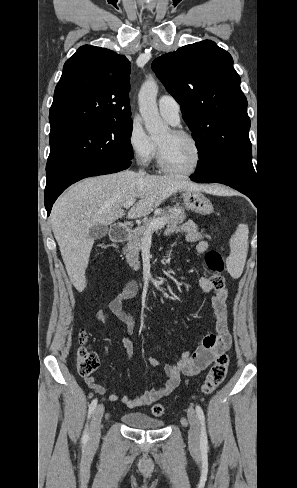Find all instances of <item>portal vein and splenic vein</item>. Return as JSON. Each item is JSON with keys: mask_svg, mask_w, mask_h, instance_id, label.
Returning a JSON list of instances; mask_svg holds the SVG:
<instances>
[{"mask_svg": "<svg viewBox=\"0 0 297 488\" xmlns=\"http://www.w3.org/2000/svg\"><path fill=\"white\" fill-rule=\"evenodd\" d=\"M136 199L134 198H131V199H128L124 204H123V207L124 208H129L130 206H132L134 203H135ZM165 223V218H161V219H155L150 225L149 227L147 228V230L145 231V240H151V237H152V231L153 230H156L158 229L159 227H162Z\"/></svg>", "mask_w": 297, "mask_h": 488, "instance_id": "portal-vein-and-splenic-vein-1", "label": "portal vein and splenic vein"}]
</instances>
